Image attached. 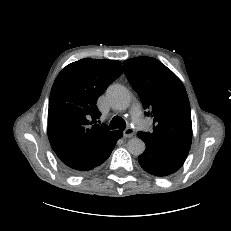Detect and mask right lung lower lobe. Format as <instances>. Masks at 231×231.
<instances>
[{
  "label": "right lung lower lobe",
  "mask_w": 231,
  "mask_h": 231,
  "mask_svg": "<svg viewBox=\"0 0 231 231\" xmlns=\"http://www.w3.org/2000/svg\"><path fill=\"white\" fill-rule=\"evenodd\" d=\"M121 131H113L110 135L91 145L60 148L54 150L66 169L73 174L90 171L108 159Z\"/></svg>",
  "instance_id": "1"
}]
</instances>
